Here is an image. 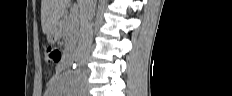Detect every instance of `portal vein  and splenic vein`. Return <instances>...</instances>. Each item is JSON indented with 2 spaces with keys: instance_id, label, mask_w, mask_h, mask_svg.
<instances>
[{
  "instance_id": "1",
  "label": "portal vein and splenic vein",
  "mask_w": 232,
  "mask_h": 96,
  "mask_svg": "<svg viewBox=\"0 0 232 96\" xmlns=\"http://www.w3.org/2000/svg\"><path fill=\"white\" fill-rule=\"evenodd\" d=\"M71 17H72V18H76V17H77L76 13H75V12H72V13H71Z\"/></svg>"
}]
</instances>
